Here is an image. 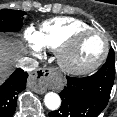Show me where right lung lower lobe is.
I'll list each match as a JSON object with an SVG mask.
<instances>
[{"instance_id":"right-lung-lower-lobe-1","label":"right lung lower lobe","mask_w":117,"mask_h":117,"mask_svg":"<svg viewBox=\"0 0 117 117\" xmlns=\"http://www.w3.org/2000/svg\"><path fill=\"white\" fill-rule=\"evenodd\" d=\"M28 74L22 69L14 73L0 86V117H12L17 103V94L26 88Z\"/></svg>"}]
</instances>
